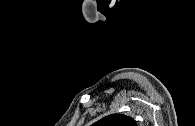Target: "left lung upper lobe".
Returning a JSON list of instances; mask_svg holds the SVG:
<instances>
[{
	"label": "left lung upper lobe",
	"instance_id": "5c2ea615",
	"mask_svg": "<svg viewBox=\"0 0 195 126\" xmlns=\"http://www.w3.org/2000/svg\"><path fill=\"white\" fill-rule=\"evenodd\" d=\"M93 126H137L136 121L123 114L109 115L96 123Z\"/></svg>",
	"mask_w": 195,
	"mask_h": 126
}]
</instances>
